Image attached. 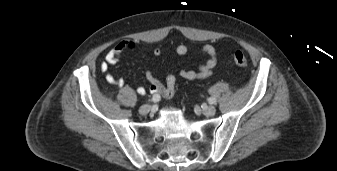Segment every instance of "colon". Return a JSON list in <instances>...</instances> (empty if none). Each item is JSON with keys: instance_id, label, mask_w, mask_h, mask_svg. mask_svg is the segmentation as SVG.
<instances>
[{"instance_id": "1", "label": "colon", "mask_w": 337, "mask_h": 171, "mask_svg": "<svg viewBox=\"0 0 337 171\" xmlns=\"http://www.w3.org/2000/svg\"><path fill=\"white\" fill-rule=\"evenodd\" d=\"M232 58L234 63L239 67H246L248 65V60L244 53H242L241 51H235L232 54Z\"/></svg>"}]
</instances>
